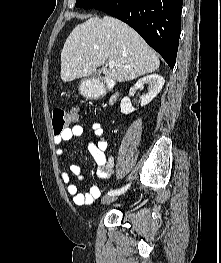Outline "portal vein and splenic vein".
<instances>
[{
	"label": "portal vein and splenic vein",
	"instance_id": "1",
	"mask_svg": "<svg viewBox=\"0 0 221 263\" xmlns=\"http://www.w3.org/2000/svg\"><path fill=\"white\" fill-rule=\"evenodd\" d=\"M116 64H115V62L113 61V60H109L108 61V66L109 67H114Z\"/></svg>",
	"mask_w": 221,
	"mask_h": 263
}]
</instances>
